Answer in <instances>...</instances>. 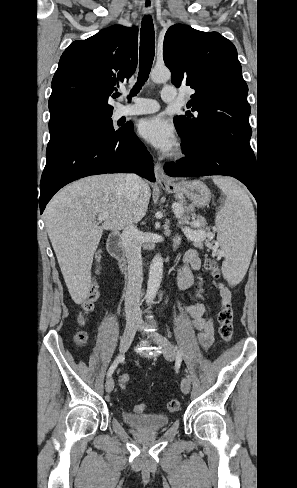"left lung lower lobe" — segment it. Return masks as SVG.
<instances>
[{"label":"left lung lower lobe","instance_id":"obj_1","mask_svg":"<svg viewBox=\"0 0 297 488\" xmlns=\"http://www.w3.org/2000/svg\"><path fill=\"white\" fill-rule=\"evenodd\" d=\"M176 163H166L164 170L172 177L206 175L232 176L247 186L258 202V173L254 153L223 144H203L190 151Z\"/></svg>","mask_w":297,"mask_h":488}]
</instances>
